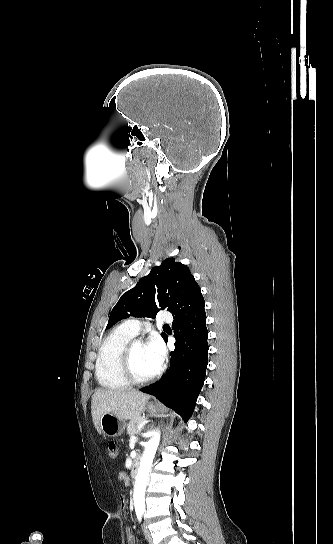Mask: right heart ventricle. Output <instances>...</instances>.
<instances>
[{
	"label": "right heart ventricle",
	"instance_id": "obj_1",
	"mask_svg": "<svg viewBox=\"0 0 333 544\" xmlns=\"http://www.w3.org/2000/svg\"><path fill=\"white\" fill-rule=\"evenodd\" d=\"M133 337L134 335L119 326L104 338L98 350L95 366L96 378L101 387L121 390L130 385L121 371V356Z\"/></svg>",
	"mask_w": 333,
	"mask_h": 544
}]
</instances>
